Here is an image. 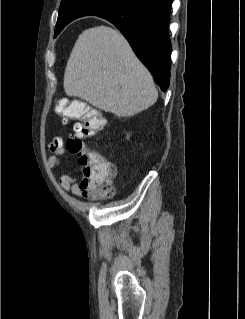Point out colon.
I'll return each instance as SVG.
<instances>
[{"label":"colon","mask_w":245,"mask_h":319,"mask_svg":"<svg viewBox=\"0 0 245 319\" xmlns=\"http://www.w3.org/2000/svg\"><path fill=\"white\" fill-rule=\"evenodd\" d=\"M56 111L66 120H76L73 133L67 141V149L78 157L81 194L92 199L111 196L114 191L115 167L100 154L86 149L84 145L85 138L104 129V117L98 110L76 100H59Z\"/></svg>","instance_id":"colon-1"}]
</instances>
